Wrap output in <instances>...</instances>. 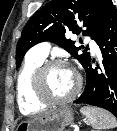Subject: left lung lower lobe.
I'll return each mask as SVG.
<instances>
[{"label": "left lung lower lobe", "instance_id": "1", "mask_svg": "<svg viewBox=\"0 0 117 131\" xmlns=\"http://www.w3.org/2000/svg\"><path fill=\"white\" fill-rule=\"evenodd\" d=\"M95 42L102 53V64L94 69L89 59L83 66L86 86L74 103L101 107L117 117V10L112 1L104 13Z\"/></svg>", "mask_w": 117, "mask_h": 131}]
</instances>
